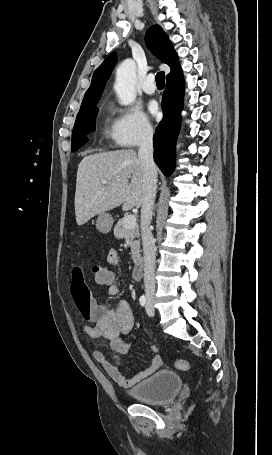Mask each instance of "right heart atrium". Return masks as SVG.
Returning <instances> with one entry per match:
<instances>
[{"instance_id":"right-heart-atrium-1","label":"right heart atrium","mask_w":272,"mask_h":455,"mask_svg":"<svg viewBox=\"0 0 272 455\" xmlns=\"http://www.w3.org/2000/svg\"><path fill=\"white\" fill-rule=\"evenodd\" d=\"M112 137L121 147H135L151 139L153 128L148 117L135 107H114Z\"/></svg>"}]
</instances>
